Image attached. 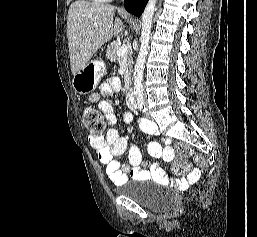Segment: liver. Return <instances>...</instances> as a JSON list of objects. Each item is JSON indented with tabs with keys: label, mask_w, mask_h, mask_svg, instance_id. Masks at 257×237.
I'll return each instance as SVG.
<instances>
[{
	"label": "liver",
	"mask_w": 257,
	"mask_h": 237,
	"mask_svg": "<svg viewBox=\"0 0 257 237\" xmlns=\"http://www.w3.org/2000/svg\"><path fill=\"white\" fill-rule=\"evenodd\" d=\"M114 7L77 0L70 5L67 17V38L72 74L81 70L112 37H118L123 22L116 18Z\"/></svg>",
	"instance_id": "1"
}]
</instances>
